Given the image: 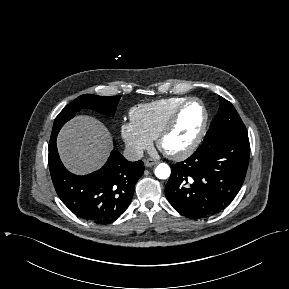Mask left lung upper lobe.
<instances>
[{
    "label": "left lung upper lobe",
    "instance_id": "5c2ea615",
    "mask_svg": "<svg viewBox=\"0 0 289 289\" xmlns=\"http://www.w3.org/2000/svg\"><path fill=\"white\" fill-rule=\"evenodd\" d=\"M219 102V111L212 120L206 136H210L219 131L247 133L246 127L234 106L223 97H219Z\"/></svg>",
    "mask_w": 289,
    "mask_h": 289
}]
</instances>
